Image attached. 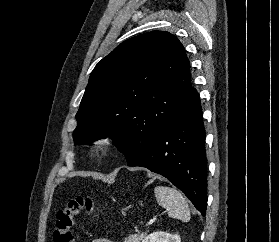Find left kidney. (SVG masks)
Segmentation results:
<instances>
[{
  "instance_id": "obj_1",
  "label": "left kidney",
  "mask_w": 279,
  "mask_h": 242,
  "mask_svg": "<svg viewBox=\"0 0 279 242\" xmlns=\"http://www.w3.org/2000/svg\"><path fill=\"white\" fill-rule=\"evenodd\" d=\"M142 242H181L178 234L172 235L164 231H156L151 233Z\"/></svg>"
}]
</instances>
